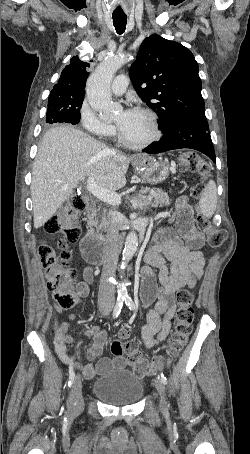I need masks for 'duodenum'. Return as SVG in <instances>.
Returning a JSON list of instances; mask_svg holds the SVG:
<instances>
[{
  "instance_id": "410a0bca",
  "label": "duodenum",
  "mask_w": 250,
  "mask_h": 454,
  "mask_svg": "<svg viewBox=\"0 0 250 454\" xmlns=\"http://www.w3.org/2000/svg\"><path fill=\"white\" fill-rule=\"evenodd\" d=\"M87 208V216L93 217L95 214L94 204L90 200H84ZM125 240V235L119 237V244H122ZM81 252L82 257L85 261L92 265H101L104 260L105 247L101 243V240L94 234L90 227L85 236L81 241Z\"/></svg>"
}]
</instances>
